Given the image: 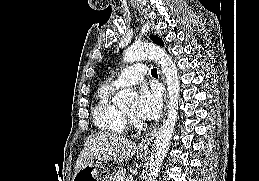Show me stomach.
Here are the masks:
<instances>
[{"label":"stomach","mask_w":259,"mask_h":181,"mask_svg":"<svg viewBox=\"0 0 259 181\" xmlns=\"http://www.w3.org/2000/svg\"><path fill=\"white\" fill-rule=\"evenodd\" d=\"M144 155L143 152L140 153ZM109 170L101 163L90 162L79 170L74 176L72 181H108Z\"/></svg>","instance_id":"stomach-1"}]
</instances>
